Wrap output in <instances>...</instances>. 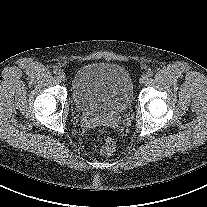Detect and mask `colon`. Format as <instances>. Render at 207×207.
<instances>
[{"label":"colon","instance_id":"5ec220e1","mask_svg":"<svg viewBox=\"0 0 207 207\" xmlns=\"http://www.w3.org/2000/svg\"><path fill=\"white\" fill-rule=\"evenodd\" d=\"M97 134L103 138V145L101 153L105 156H110L115 152L116 144L114 140L109 137L103 127L97 129Z\"/></svg>","mask_w":207,"mask_h":207}]
</instances>
